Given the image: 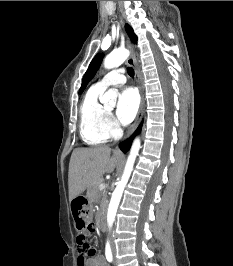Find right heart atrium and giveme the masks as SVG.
<instances>
[{
  "label": "right heart atrium",
  "mask_w": 233,
  "mask_h": 266,
  "mask_svg": "<svg viewBox=\"0 0 233 266\" xmlns=\"http://www.w3.org/2000/svg\"><path fill=\"white\" fill-rule=\"evenodd\" d=\"M105 129L109 136L114 137L119 133V125L111 113L107 114Z\"/></svg>",
  "instance_id": "1"
}]
</instances>
